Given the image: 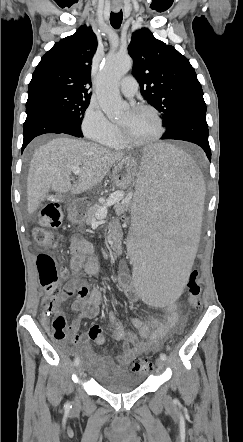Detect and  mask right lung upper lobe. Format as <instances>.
Here are the masks:
<instances>
[{
    "instance_id": "1",
    "label": "right lung upper lobe",
    "mask_w": 243,
    "mask_h": 442,
    "mask_svg": "<svg viewBox=\"0 0 243 442\" xmlns=\"http://www.w3.org/2000/svg\"><path fill=\"white\" fill-rule=\"evenodd\" d=\"M97 44L96 35L85 25L55 43L37 65L28 97L59 91L90 99L91 64Z\"/></svg>"
}]
</instances>
